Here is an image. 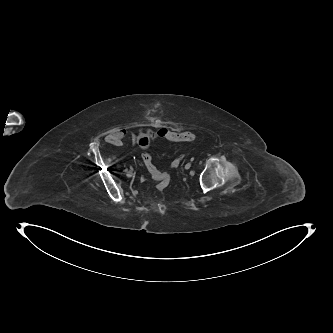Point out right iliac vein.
Segmentation results:
<instances>
[{"label":"right iliac vein","mask_w":333,"mask_h":333,"mask_svg":"<svg viewBox=\"0 0 333 333\" xmlns=\"http://www.w3.org/2000/svg\"><path fill=\"white\" fill-rule=\"evenodd\" d=\"M127 176L131 177L132 176V172L130 171L129 173H127Z\"/></svg>","instance_id":"right-iliac-vein-1"}]
</instances>
